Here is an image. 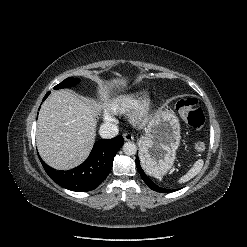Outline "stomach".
<instances>
[{
	"mask_svg": "<svg viewBox=\"0 0 247 247\" xmlns=\"http://www.w3.org/2000/svg\"><path fill=\"white\" fill-rule=\"evenodd\" d=\"M180 140L177 116L171 111H159L141 139L139 158L143 169L154 177L166 174L174 164Z\"/></svg>",
	"mask_w": 247,
	"mask_h": 247,
	"instance_id": "0dacf381",
	"label": "stomach"
}]
</instances>
